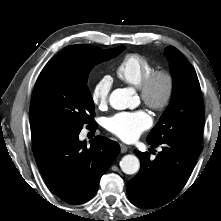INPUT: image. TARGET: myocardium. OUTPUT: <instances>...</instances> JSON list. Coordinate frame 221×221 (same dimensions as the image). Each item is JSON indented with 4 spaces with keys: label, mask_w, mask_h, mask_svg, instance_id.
I'll return each mask as SVG.
<instances>
[{
    "label": "myocardium",
    "mask_w": 221,
    "mask_h": 221,
    "mask_svg": "<svg viewBox=\"0 0 221 221\" xmlns=\"http://www.w3.org/2000/svg\"><path fill=\"white\" fill-rule=\"evenodd\" d=\"M163 83L164 89L160 97L155 94L156 87ZM140 97L150 109L162 112L171 104L175 93V78L167 69H155L151 71L138 87Z\"/></svg>",
    "instance_id": "1"
}]
</instances>
